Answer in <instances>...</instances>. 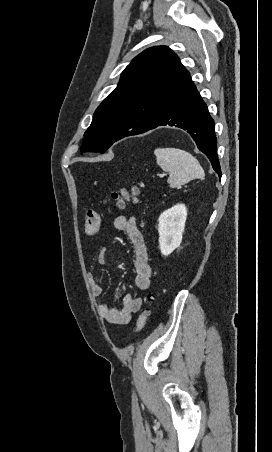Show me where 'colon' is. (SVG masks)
<instances>
[{"instance_id": "1", "label": "colon", "mask_w": 272, "mask_h": 452, "mask_svg": "<svg viewBox=\"0 0 272 452\" xmlns=\"http://www.w3.org/2000/svg\"><path fill=\"white\" fill-rule=\"evenodd\" d=\"M139 194L140 190L136 186L131 187L130 189H120L118 191H114L111 194L110 198L105 202V205L107 206L111 205L116 208H123L129 202H137ZM101 219H102L101 211L96 209H90L87 212L85 219V231L90 235L96 234L100 229ZM147 301L149 304L152 303L154 301V295L149 294L147 297ZM149 315L150 307L149 305H147L142 309L141 314L137 320L136 330L138 332L142 331L143 328L145 327Z\"/></svg>"}]
</instances>
